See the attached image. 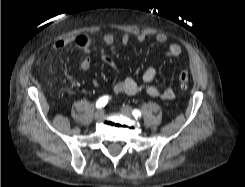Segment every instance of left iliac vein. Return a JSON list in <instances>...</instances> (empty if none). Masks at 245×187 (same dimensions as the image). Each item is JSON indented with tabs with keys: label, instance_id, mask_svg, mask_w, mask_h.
Wrapping results in <instances>:
<instances>
[{
	"label": "left iliac vein",
	"instance_id": "1",
	"mask_svg": "<svg viewBox=\"0 0 245 187\" xmlns=\"http://www.w3.org/2000/svg\"><path fill=\"white\" fill-rule=\"evenodd\" d=\"M121 112L124 114V115H127V116H130L132 115V108L128 105H125L121 108Z\"/></svg>",
	"mask_w": 245,
	"mask_h": 187
}]
</instances>
